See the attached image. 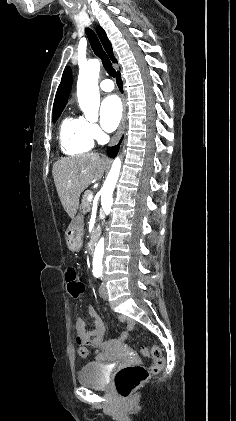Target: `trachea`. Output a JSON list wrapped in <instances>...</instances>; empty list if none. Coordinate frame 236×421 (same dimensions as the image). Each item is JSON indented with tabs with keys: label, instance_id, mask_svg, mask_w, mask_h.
<instances>
[{
	"label": "trachea",
	"instance_id": "1",
	"mask_svg": "<svg viewBox=\"0 0 236 421\" xmlns=\"http://www.w3.org/2000/svg\"><path fill=\"white\" fill-rule=\"evenodd\" d=\"M85 31L93 52L101 59L106 72L109 73L110 76L115 77L116 71L114 70L112 63L108 58V55H106L105 51L103 50L97 35L92 29H89L88 27L85 29Z\"/></svg>",
	"mask_w": 236,
	"mask_h": 421
}]
</instances>
